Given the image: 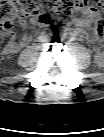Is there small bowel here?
I'll return each instance as SVG.
<instances>
[{"label":"small bowel","instance_id":"1","mask_svg":"<svg viewBox=\"0 0 104 137\" xmlns=\"http://www.w3.org/2000/svg\"><path fill=\"white\" fill-rule=\"evenodd\" d=\"M36 21L39 22L37 19ZM33 23L36 24L35 21H33ZM99 23V13L94 9L88 8L83 10L79 17H76L72 20V27L67 30V33L74 37H80L82 35H85L88 42L92 45L96 64L103 65L104 55L99 47L98 39L93 34L88 32V30L92 26L99 25ZM21 27L25 31L27 29V23L25 21H22ZM3 35L9 38L8 42L4 45L1 51L2 54L5 56L18 52L21 48L25 47L33 39V37L28 33H24L19 42L15 41V34L13 32H7Z\"/></svg>","mask_w":104,"mask_h":137}]
</instances>
